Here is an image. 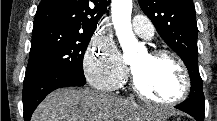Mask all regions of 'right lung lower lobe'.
<instances>
[{"instance_id": "1", "label": "right lung lower lobe", "mask_w": 217, "mask_h": 121, "mask_svg": "<svg viewBox=\"0 0 217 121\" xmlns=\"http://www.w3.org/2000/svg\"><path fill=\"white\" fill-rule=\"evenodd\" d=\"M85 79L78 78L65 71H48L24 79L23 110L24 120L30 121L31 115L39 103L53 90L61 87L83 86Z\"/></svg>"}]
</instances>
